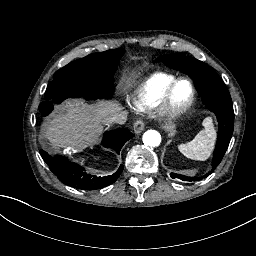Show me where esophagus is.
Wrapping results in <instances>:
<instances>
[{
	"mask_svg": "<svg viewBox=\"0 0 256 256\" xmlns=\"http://www.w3.org/2000/svg\"><path fill=\"white\" fill-rule=\"evenodd\" d=\"M134 132L136 134H140L143 130H144V122L142 120H137L134 123V128H133Z\"/></svg>",
	"mask_w": 256,
	"mask_h": 256,
	"instance_id": "34e87169",
	"label": "esophagus"
}]
</instances>
